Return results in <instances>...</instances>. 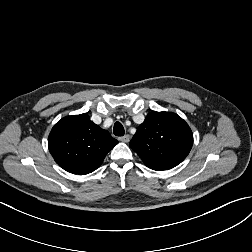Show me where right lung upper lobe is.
I'll return each mask as SVG.
<instances>
[{
    "label": "right lung upper lobe",
    "instance_id": "cb5924a9",
    "mask_svg": "<svg viewBox=\"0 0 252 252\" xmlns=\"http://www.w3.org/2000/svg\"><path fill=\"white\" fill-rule=\"evenodd\" d=\"M117 143L87 114L62 118L48 137L49 150L56 163L64 170L79 175L96 170Z\"/></svg>",
    "mask_w": 252,
    "mask_h": 252
}]
</instances>
